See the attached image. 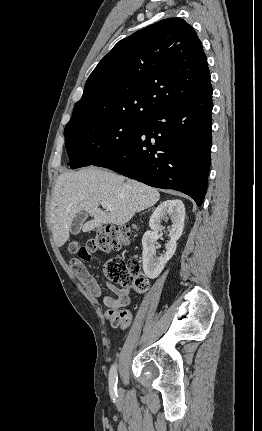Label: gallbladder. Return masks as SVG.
<instances>
[{
	"instance_id": "bac80fb5",
	"label": "gallbladder",
	"mask_w": 262,
	"mask_h": 431,
	"mask_svg": "<svg viewBox=\"0 0 262 431\" xmlns=\"http://www.w3.org/2000/svg\"><path fill=\"white\" fill-rule=\"evenodd\" d=\"M87 217H88V215L85 212H80V213L76 214V216L74 217V219L71 223V226H70V233L72 235L79 234V232L82 228V224L87 219Z\"/></svg>"
}]
</instances>
